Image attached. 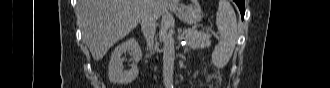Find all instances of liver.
Segmentation results:
<instances>
[{"instance_id": "obj_1", "label": "liver", "mask_w": 330, "mask_h": 88, "mask_svg": "<svg viewBox=\"0 0 330 88\" xmlns=\"http://www.w3.org/2000/svg\"><path fill=\"white\" fill-rule=\"evenodd\" d=\"M146 7L147 0H79L82 37L93 59H102L110 47L129 34ZM155 8L160 17L163 1L156 0Z\"/></svg>"}]
</instances>
